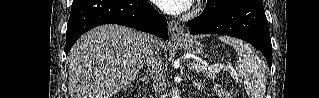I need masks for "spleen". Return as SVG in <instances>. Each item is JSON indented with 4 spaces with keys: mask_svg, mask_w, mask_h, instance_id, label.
I'll list each match as a JSON object with an SVG mask.
<instances>
[{
    "mask_svg": "<svg viewBox=\"0 0 319 98\" xmlns=\"http://www.w3.org/2000/svg\"><path fill=\"white\" fill-rule=\"evenodd\" d=\"M231 45L237 53V78L244 82L249 98H264L266 90V75L260 58L253 52L248 44L231 37H219Z\"/></svg>",
    "mask_w": 319,
    "mask_h": 98,
    "instance_id": "1",
    "label": "spleen"
}]
</instances>
